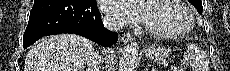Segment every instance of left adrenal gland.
Returning <instances> with one entry per match:
<instances>
[{
	"instance_id": "1",
	"label": "left adrenal gland",
	"mask_w": 230,
	"mask_h": 71,
	"mask_svg": "<svg viewBox=\"0 0 230 71\" xmlns=\"http://www.w3.org/2000/svg\"><path fill=\"white\" fill-rule=\"evenodd\" d=\"M148 68H149V64L147 65V67H146L145 71H148Z\"/></svg>"
}]
</instances>
